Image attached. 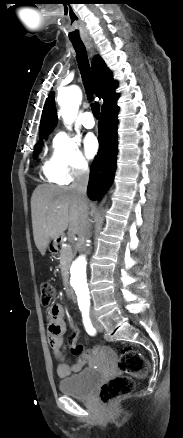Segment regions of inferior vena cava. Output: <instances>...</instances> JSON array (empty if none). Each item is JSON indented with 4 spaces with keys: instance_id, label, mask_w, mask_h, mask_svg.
Instances as JSON below:
<instances>
[{
    "instance_id": "obj_1",
    "label": "inferior vena cava",
    "mask_w": 183,
    "mask_h": 438,
    "mask_svg": "<svg viewBox=\"0 0 183 438\" xmlns=\"http://www.w3.org/2000/svg\"><path fill=\"white\" fill-rule=\"evenodd\" d=\"M89 179L88 167H82L75 171L74 181L71 184V189L74 190L85 205V220L83 224V230L80 235V251H86V241L90 237V222L88 219V206H87V185Z\"/></svg>"
}]
</instances>
